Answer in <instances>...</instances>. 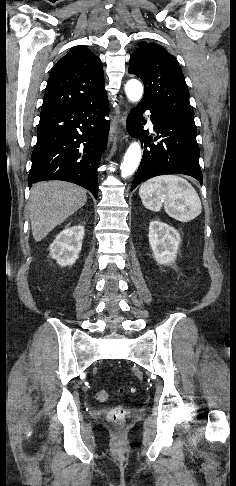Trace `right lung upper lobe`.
<instances>
[{
  "instance_id": "right-lung-upper-lobe-1",
  "label": "right lung upper lobe",
  "mask_w": 236,
  "mask_h": 486,
  "mask_svg": "<svg viewBox=\"0 0 236 486\" xmlns=\"http://www.w3.org/2000/svg\"><path fill=\"white\" fill-rule=\"evenodd\" d=\"M104 99L107 94L100 59L85 46H77L53 67L41 115Z\"/></svg>"
}]
</instances>
